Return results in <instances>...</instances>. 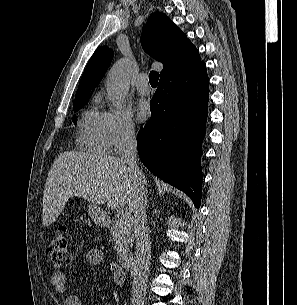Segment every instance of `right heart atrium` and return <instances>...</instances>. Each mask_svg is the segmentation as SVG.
<instances>
[{
  "label": "right heart atrium",
  "mask_w": 297,
  "mask_h": 305,
  "mask_svg": "<svg viewBox=\"0 0 297 305\" xmlns=\"http://www.w3.org/2000/svg\"><path fill=\"white\" fill-rule=\"evenodd\" d=\"M103 126L108 149L119 152L137 137V130L131 113L126 109H111L103 113Z\"/></svg>",
  "instance_id": "d8ad5b80"
}]
</instances>
